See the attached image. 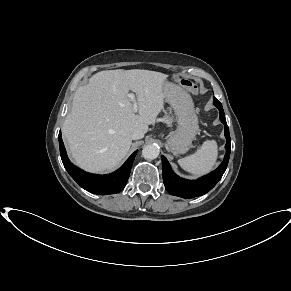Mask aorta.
<instances>
[{"instance_id":"762f6f07","label":"aorta","mask_w":291,"mask_h":291,"mask_svg":"<svg viewBox=\"0 0 291 291\" xmlns=\"http://www.w3.org/2000/svg\"><path fill=\"white\" fill-rule=\"evenodd\" d=\"M142 155L145 159L153 160L159 155V147L154 144L146 145L142 150Z\"/></svg>"}]
</instances>
